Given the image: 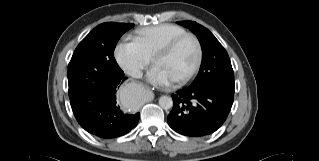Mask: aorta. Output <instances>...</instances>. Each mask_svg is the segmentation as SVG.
Returning <instances> with one entry per match:
<instances>
[{"mask_svg": "<svg viewBox=\"0 0 319 161\" xmlns=\"http://www.w3.org/2000/svg\"><path fill=\"white\" fill-rule=\"evenodd\" d=\"M159 105L161 108L168 110L173 106V100L169 96H161L159 99Z\"/></svg>", "mask_w": 319, "mask_h": 161, "instance_id": "1", "label": "aorta"}]
</instances>
